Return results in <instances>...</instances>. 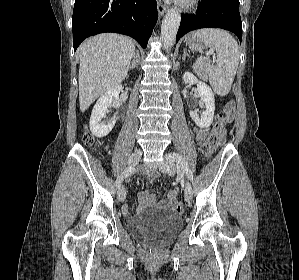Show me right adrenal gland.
Wrapping results in <instances>:
<instances>
[{
  "mask_svg": "<svg viewBox=\"0 0 299 280\" xmlns=\"http://www.w3.org/2000/svg\"><path fill=\"white\" fill-rule=\"evenodd\" d=\"M139 53L138 51L135 52L134 60L132 61L131 65L129 66V70L135 68L139 63Z\"/></svg>",
  "mask_w": 299,
  "mask_h": 280,
  "instance_id": "obj_1",
  "label": "right adrenal gland"
}]
</instances>
